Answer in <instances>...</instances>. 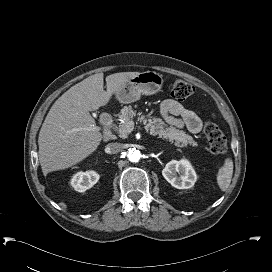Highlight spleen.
Masks as SVG:
<instances>
[{
	"label": "spleen",
	"instance_id": "3e777b00",
	"mask_svg": "<svg viewBox=\"0 0 272 272\" xmlns=\"http://www.w3.org/2000/svg\"><path fill=\"white\" fill-rule=\"evenodd\" d=\"M233 174V162L230 158L225 159L224 166L219 169L217 175V183L222 191H225L232 179Z\"/></svg>",
	"mask_w": 272,
	"mask_h": 272
}]
</instances>
